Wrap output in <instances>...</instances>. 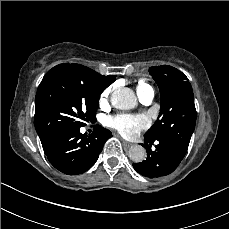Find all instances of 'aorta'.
I'll return each instance as SVG.
<instances>
[{
  "mask_svg": "<svg viewBox=\"0 0 229 229\" xmlns=\"http://www.w3.org/2000/svg\"><path fill=\"white\" fill-rule=\"evenodd\" d=\"M111 103L113 107L120 110L132 109L137 105V99L134 92L127 87L116 89L111 96ZM129 158L135 162H142L146 157V150L140 146L135 145L129 149Z\"/></svg>",
  "mask_w": 229,
  "mask_h": 229,
  "instance_id": "762f6f07",
  "label": "aorta"
}]
</instances>
